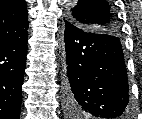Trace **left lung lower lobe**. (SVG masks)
I'll return each instance as SVG.
<instances>
[{"instance_id": "1", "label": "left lung lower lobe", "mask_w": 142, "mask_h": 119, "mask_svg": "<svg viewBox=\"0 0 142 119\" xmlns=\"http://www.w3.org/2000/svg\"><path fill=\"white\" fill-rule=\"evenodd\" d=\"M66 103L72 113L97 119L130 116L124 55L116 35L94 33L65 19Z\"/></svg>"}]
</instances>
